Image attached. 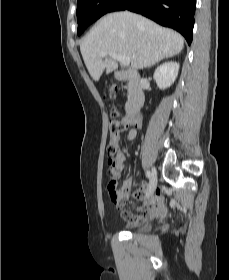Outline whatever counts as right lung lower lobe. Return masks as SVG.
<instances>
[{"label":"right lung lower lobe","mask_w":229,"mask_h":280,"mask_svg":"<svg viewBox=\"0 0 229 280\" xmlns=\"http://www.w3.org/2000/svg\"><path fill=\"white\" fill-rule=\"evenodd\" d=\"M196 0H117L110 12L129 10L180 32L192 42Z\"/></svg>","instance_id":"obj_1"}]
</instances>
